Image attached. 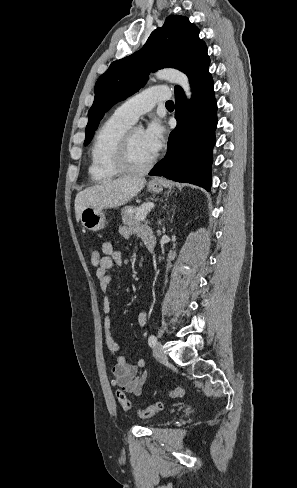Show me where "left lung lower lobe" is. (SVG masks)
Segmentation results:
<instances>
[{"mask_svg":"<svg viewBox=\"0 0 297 488\" xmlns=\"http://www.w3.org/2000/svg\"><path fill=\"white\" fill-rule=\"evenodd\" d=\"M210 73L192 85L190 106L182 91L175 93L177 126L168 140L166 157L149 173L178 182L211 187L212 149L217 126V103Z\"/></svg>","mask_w":297,"mask_h":488,"instance_id":"1","label":"left lung lower lobe"}]
</instances>
